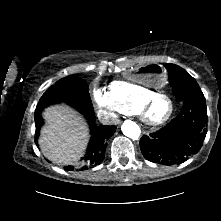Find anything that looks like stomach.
Here are the masks:
<instances>
[{
  "mask_svg": "<svg viewBox=\"0 0 221 221\" xmlns=\"http://www.w3.org/2000/svg\"><path fill=\"white\" fill-rule=\"evenodd\" d=\"M132 80L144 87L157 88L164 81L162 67L157 63L137 65L131 71Z\"/></svg>",
  "mask_w": 221,
  "mask_h": 221,
  "instance_id": "0dacf381",
  "label": "stomach"
}]
</instances>
